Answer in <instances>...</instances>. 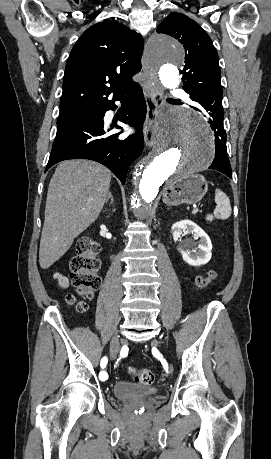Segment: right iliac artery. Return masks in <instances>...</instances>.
Listing matches in <instances>:
<instances>
[{
  "mask_svg": "<svg viewBox=\"0 0 271 459\" xmlns=\"http://www.w3.org/2000/svg\"><path fill=\"white\" fill-rule=\"evenodd\" d=\"M107 362H108L107 357H103L101 360V364H100L101 367L103 368L101 369V374H103L104 382L111 381V376H109V373H106V369H104L107 365Z\"/></svg>",
  "mask_w": 271,
  "mask_h": 459,
  "instance_id": "82829eb1",
  "label": "right iliac artery"
}]
</instances>
